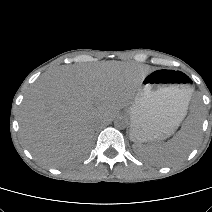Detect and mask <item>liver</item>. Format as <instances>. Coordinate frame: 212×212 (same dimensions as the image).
I'll return each instance as SVG.
<instances>
[{
    "label": "liver",
    "mask_w": 212,
    "mask_h": 212,
    "mask_svg": "<svg viewBox=\"0 0 212 212\" xmlns=\"http://www.w3.org/2000/svg\"><path fill=\"white\" fill-rule=\"evenodd\" d=\"M148 73L145 66L120 61L45 73L32 85L20 109L23 144L44 165L73 164L90 150L95 126L129 106Z\"/></svg>",
    "instance_id": "liver-1"
}]
</instances>
